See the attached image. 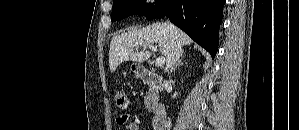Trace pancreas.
<instances>
[{"instance_id":"obj_1","label":"pancreas","mask_w":299,"mask_h":130,"mask_svg":"<svg viewBox=\"0 0 299 130\" xmlns=\"http://www.w3.org/2000/svg\"><path fill=\"white\" fill-rule=\"evenodd\" d=\"M144 103L148 111H152L155 109V105H156L155 92L151 87L146 92V95L144 97Z\"/></svg>"}]
</instances>
